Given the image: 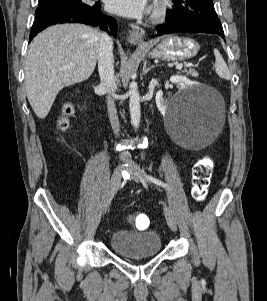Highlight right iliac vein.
Listing matches in <instances>:
<instances>
[{
    "instance_id": "1",
    "label": "right iliac vein",
    "mask_w": 267,
    "mask_h": 301,
    "mask_svg": "<svg viewBox=\"0 0 267 301\" xmlns=\"http://www.w3.org/2000/svg\"><path fill=\"white\" fill-rule=\"evenodd\" d=\"M122 172L123 169L121 167H118L115 169L111 177L110 183L104 195L103 214L107 212L109 208V202L113 199L118 190L122 178Z\"/></svg>"
}]
</instances>
